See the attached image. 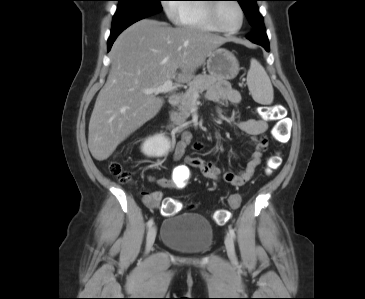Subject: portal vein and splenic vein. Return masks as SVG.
<instances>
[{"label":"portal vein and splenic vein","mask_w":365,"mask_h":299,"mask_svg":"<svg viewBox=\"0 0 365 299\" xmlns=\"http://www.w3.org/2000/svg\"><path fill=\"white\" fill-rule=\"evenodd\" d=\"M178 85H174L172 80H167L163 85H160L155 88L145 89L144 93L146 94H160V93H170L174 90H176ZM195 97H198L197 94H195Z\"/></svg>","instance_id":"1"}]
</instances>
